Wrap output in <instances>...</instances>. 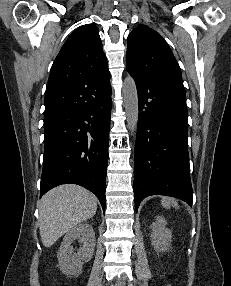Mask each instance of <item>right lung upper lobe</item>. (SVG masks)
<instances>
[{
    "label": "right lung upper lobe",
    "mask_w": 231,
    "mask_h": 286,
    "mask_svg": "<svg viewBox=\"0 0 231 286\" xmlns=\"http://www.w3.org/2000/svg\"><path fill=\"white\" fill-rule=\"evenodd\" d=\"M107 74L109 70L98 28L94 25L79 27L68 37L52 65L45 94L46 108L69 97L78 84Z\"/></svg>",
    "instance_id": "right-lung-upper-lobe-1"
}]
</instances>
